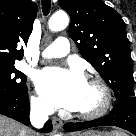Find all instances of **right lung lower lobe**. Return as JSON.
Segmentation results:
<instances>
[{"mask_svg": "<svg viewBox=\"0 0 136 136\" xmlns=\"http://www.w3.org/2000/svg\"><path fill=\"white\" fill-rule=\"evenodd\" d=\"M28 94L17 98H0V114L13 118L25 125H30ZM42 133L52 131L51 121H47L45 127L40 129Z\"/></svg>", "mask_w": 136, "mask_h": 136, "instance_id": "98d812e1", "label": "right lung lower lobe"}]
</instances>
